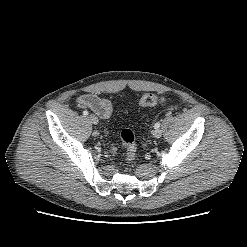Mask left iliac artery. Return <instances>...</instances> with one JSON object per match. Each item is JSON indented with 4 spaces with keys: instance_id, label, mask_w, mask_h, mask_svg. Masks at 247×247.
Listing matches in <instances>:
<instances>
[{
    "instance_id": "44dca946",
    "label": "left iliac artery",
    "mask_w": 247,
    "mask_h": 247,
    "mask_svg": "<svg viewBox=\"0 0 247 247\" xmlns=\"http://www.w3.org/2000/svg\"><path fill=\"white\" fill-rule=\"evenodd\" d=\"M160 122H157L155 125H154V128L156 129V128H159L160 127Z\"/></svg>"
}]
</instances>
